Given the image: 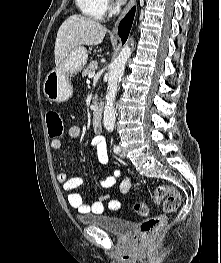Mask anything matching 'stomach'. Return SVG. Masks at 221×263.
<instances>
[{"label": "stomach", "mask_w": 221, "mask_h": 263, "mask_svg": "<svg viewBox=\"0 0 221 263\" xmlns=\"http://www.w3.org/2000/svg\"><path fill=\"white\" fill-rule=\"evenodd\" d=\"M88 52L84 47L71 50L59 66L52 69L46 76L43 92L52 102H65L73 93L69 75L80 71L87 62Z\"/></svg>", "instance_id": "1"}]
</instances>
